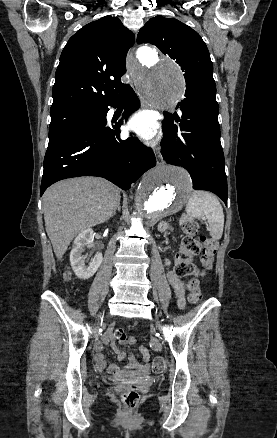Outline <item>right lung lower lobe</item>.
<instances>
[{
	"label": "right lung lower lobe",
	"mask_w": 277,
	"mask_h": 438,
	"mask_svg": "<svg viewBox=\"0 0 277 438\" xmlns=\"http://www.w3.org/2000/svg\"><path fill=\"white\" fill-rule=\"evenodd\" d=\"M120 103L126 104L125 118L139 107L138 97L130 85L103 103L88 121L49 139L40 195L53 183L78 176H100L127 190L144 172L155 166L150 148L135 137L121 140L120 123L107 124V106L116 107Z\"/></svg>",
	"instance_id": "98d812e1"
}]
</instances>
